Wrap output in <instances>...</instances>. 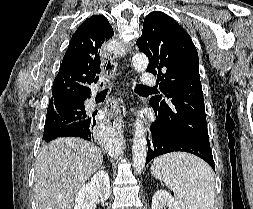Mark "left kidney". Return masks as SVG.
Returning <instances> with one entry per match:
<instances>
[{"instance_id": "5707ae66", "label": "left kidney", "mask_w": 253, "mask_h": 209, "mask_svg": "<svg viewBox=\"0 0 253 209\" xmlns=\"http://www.w3.org/2000/svg\"><path fill=\"white\" fill-rule=\"evenodd\" d=\"M165 206L168 209H180L177 202L168 192L159 190L152 198V209H163Z\"/></svg>"}]
</instances>
